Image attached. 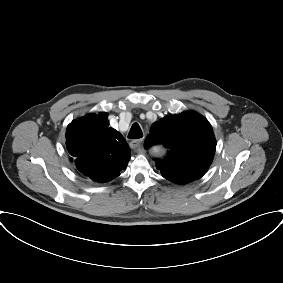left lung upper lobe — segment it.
<instances>
[{
    "mask_svg": "<svg viewBox=\"0 0 283 283\" xmlns=\"http://www.w3.org/2000/svg\"><path fill=\"white\" fill-rule=\"evenodd\" d=\"M163 144L168 150L156 168L167 180L186 184L204 175L210 166L216 142L210 123L196 112L168 115L154 122L145 147Z\"/></svg>",
    "mask_w": 283,
    "mask_h": 283,
    "instance_id": "1",
    "label": "left lung upper lobe"
}]
</instances>
